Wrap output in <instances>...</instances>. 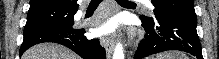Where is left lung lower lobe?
<instances>
[{
	"mask_svg": "<svg viewBox=\"0 0 219 59\" xmlns=\"http://www.w3.org/2000/svg\"><path fill=\"white\" fill-rule=\"evenodd\" d=\"M141 20L146 33L134 59H143L168 50L188 52L203 59L194 4H188L173 13L158 15L154 21Z\"/></svg>",
	"mask_w": 219,
	"mask_h": 59,
	"instance_id": "obj_1",
	"label": "left lung lower lobe"
}]
</instances>
